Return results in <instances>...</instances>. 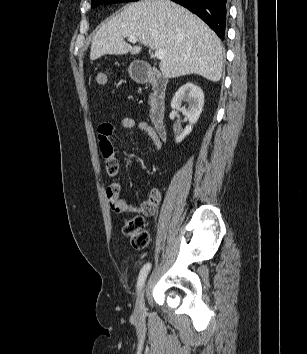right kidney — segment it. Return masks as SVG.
<instances>
[{
  "instance_id": "1",
  "label": "right kidney",
  "mask_w": 307,
  "mask_h": 354,
  "mask_svg": "<svg viewBox=\"0 0 307 354\" xmlns=\"http://www.w3.org/2000/svg\"><path fill=\"white\" fill-rule=\"evenodd\" d=\"M183 102H187L188 108L182 106ZM204 106V93L197 85L187 82L182 85L175 93L171 107L179 110L184 116L187 117L189 125L185 127L182 133L176 137V142H181L186 135H189L192 131L193 124H195L202 112Z\"/></svg>"
}]
</instances>
